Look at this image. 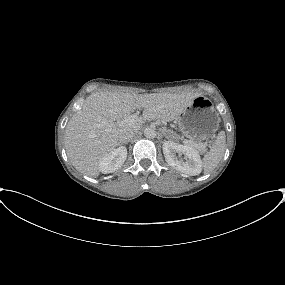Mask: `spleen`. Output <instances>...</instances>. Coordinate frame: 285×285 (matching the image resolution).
<instances>
[{"label": "spleen", "mask_w": 285, "mask_h": 285, "mask_svg": "<svg viewBox=\"0 0 285 285\" xmlns=\"http://www.w3.org/2000/svg\"><path fill=\"white\" fill-rule=\"evenodd\" d=\"M225 142V132L221 131L212 144L210 151L203 157L202 166L204 173H210L217 167L224 155Z\"/></svg>", "instance_id": "3e777b00"}]
</instances>
